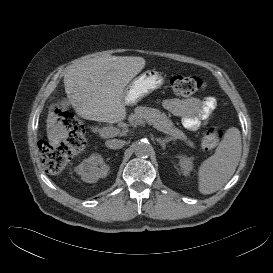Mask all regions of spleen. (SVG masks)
<instances>
[{
	"label": "spleen",
	"mask_w": 273,
	"mask_h": 273,
	"mask_svg": "<svg viewBox=\"0 0 273 273\" xmlns=\"http://www.w3.org/2000/svg\"><path fill=\"white\" fill-rule=\"evenodd\" d=\"M242 153L240 131L229 128L214 155L198 169L199 192L206 195L218 191L234 174Z\"/></svg>",
	"instance_id": "obj_1"
}]
</instances>
